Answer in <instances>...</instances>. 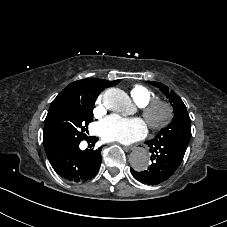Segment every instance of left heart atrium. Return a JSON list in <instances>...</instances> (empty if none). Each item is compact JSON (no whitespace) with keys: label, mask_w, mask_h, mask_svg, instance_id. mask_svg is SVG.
I'll return each instance as SVG.
<instances>
[{"label":"left heart atrium","mask_w":227,"mask_h":227,"mask_svg":"<svg viewBox=\"0 0 227 227\" xmlns=\"http://www.w3.org/2000/svg\"><path fill=\"white\" fill-rule=\"evenodd\" d=\"M98 133L105 141L130 144L145 138L148 127L141 118L109 116L99 123Z\"/></svg>","instance_id":"39dd6f15"}]
</instances>
